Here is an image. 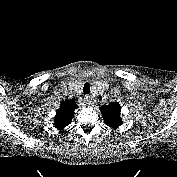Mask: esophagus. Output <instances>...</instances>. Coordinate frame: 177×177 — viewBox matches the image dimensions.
Instances as JSON below:
<instances>
[{"mask_svg": "<svg viewBox=\"0 0 177 177\" xmlns=\"http://www.w3.org/2000/svg\"><path fill=\"white\" fill-rule=\"evenodd\" d=\"M84 102L87 105H91V104H93V98L90 95H86L85 98H84Z\"/></svg>", "mask_w": 177, "mask_h": 177, "instance_id": "34e87169", "label": "esophagus"}]
</instances>
